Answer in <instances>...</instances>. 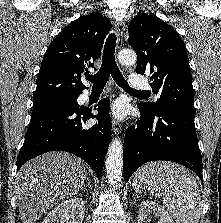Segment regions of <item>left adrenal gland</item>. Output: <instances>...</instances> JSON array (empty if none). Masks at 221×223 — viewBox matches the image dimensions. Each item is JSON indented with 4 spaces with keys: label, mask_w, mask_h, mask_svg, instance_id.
Masks as SVG:
<instances>
[{
    "label": "left adrenal gland",
    "mask_w": 221,
    "mask_h": 223,
    "mask_svg": "<svg viewBox=\"0 0 221 223\" xmlns=\"http://www.w3.org/2000/svg\"><path fill=\"white\" fill-rule=\"evenodd\" d=\"M138 197V194L136 193V198Z\"/></svg>",
    "instance_id": "left-adrenal-gland-1"
}]
</instances>
